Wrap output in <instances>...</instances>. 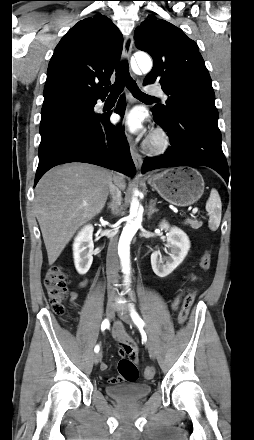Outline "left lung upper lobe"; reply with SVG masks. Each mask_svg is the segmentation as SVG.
I'll return each mask as SVG.
<instances>
[{"label": "left lung upper lobe", "mask_w": 254, "mask_h": 440, "mask_svg": "<svg viewBox=\"0 0 254 440\" xmlns=\"http://www.w3.org/2000/svg\"><path fill=\"white\" fill-rule=\"evenodd\" d=\"M135 44L148 52L154 66L144 84L159 83L168 95L165 105L154 111L166 121H174L179 109H192L218 118L209 72L197 44L173 24L147 19L135 29Z\"/></svg>", "instance_id": "5c2ea615"}]
</instances>
